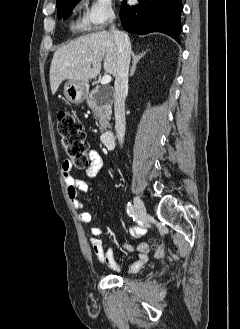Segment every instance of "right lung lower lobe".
<instances>
[{"instance_id":"obj_1","label":"right lung lower lobe","mask_w":240,"mask_h":329,"mask_svg":"<svg viewBox=\"0 0 240 329\" xmlns=\"http://www.w3.org/2000/svg\"><path fill=\"white\" fill-rule=\"evenodd\" d=\"M139 4L121 7V22L131 33L147 34L163 32L179 42L182 30L180 15L183 10L181 0H138Z\"/></svg>"}]
</instances>
